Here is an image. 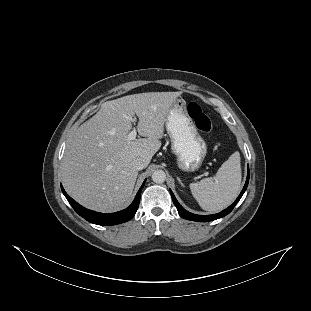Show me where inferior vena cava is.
<instances>
[{"mask_svg":"<svg viewBox=\"0 0 311 311\" xmlns=\"http://www.w3.org/2000/svg\"><path fill=\"white\" fill-rule=\"evenodd\" d=\"M132 165L134 168H136L137 170H142L145 168V163L143 161V159L141 158H136L133 162Z\"/></svg>","mask_w":311,"mask_h":311,"instance_id":"obj_1","label":"inferior vena cava"}]
</instances>
